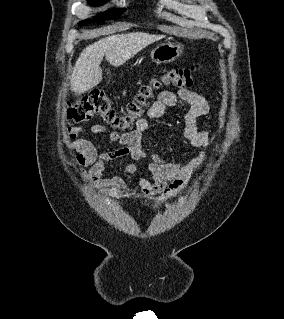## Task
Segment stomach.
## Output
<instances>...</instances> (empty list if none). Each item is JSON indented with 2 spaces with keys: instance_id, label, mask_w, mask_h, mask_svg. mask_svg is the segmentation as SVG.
<instances>
[{
  "instance_id": "0dacf381",
  "label": "stomach",
  "mask_w": 284,
  "mask_h": 319,
  "mask_svg": "<svg viewBox=\"0 0 284 319\" xmlns=\"http://www.w3.org/2000/svg\"><path fill=\"white\" fill-rule=\"evenodd\" d=\"M184 47L178 43L166 42L158 45L152 52L151 58L157 63H168L179 58L183 54Z\"/></svg>"
}]
</instances>
